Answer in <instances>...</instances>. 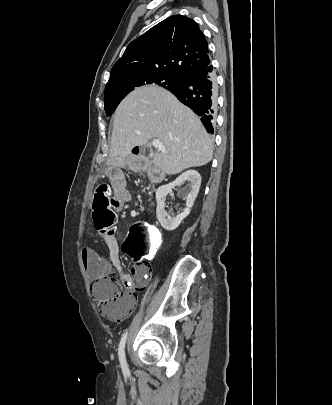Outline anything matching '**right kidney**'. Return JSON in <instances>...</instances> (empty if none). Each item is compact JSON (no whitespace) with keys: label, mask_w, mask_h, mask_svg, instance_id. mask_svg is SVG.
<instances>
[{"label":"right kidney","mask_w":332,"mask_h":405,"mask_svg":"<svg viewBox=\"0 0 332 405\" xmlns=\"http://www.w3.org/2000/svg\"><path fill=\"white\" fill-rule=\"evenodd\" d=\"M187 181L190 185V191L185 196L186 198V208L181 214L176 216H169L165 211V200L166 196L172 192V189L181 185L183 182ZM201 185V176L195 170H188L182 173L176 180L167 185L160 186L156 191V215L161 226L167 231L175 230L180 223L186 218L191 211V207L194 204V201L198 195L199 188Z\"/></svg>","instance_id":"1"}]
</instances>
